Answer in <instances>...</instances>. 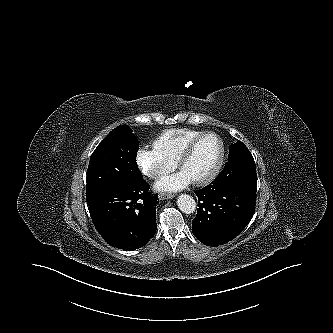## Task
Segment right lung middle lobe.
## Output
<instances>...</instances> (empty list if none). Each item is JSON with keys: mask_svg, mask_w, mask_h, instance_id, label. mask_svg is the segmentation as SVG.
I'll use <instances>...</instances> for the list:
<instances>
[{"mask_svg": "<svg viewBox=\"0 0 333 333\" xmlns=\"http://www.w3.org/2000/svg\"><path fill=\"white\" fill-rule=\"evenodd\" d=\"M138 148V140L128 125L112 130L90 158L86 198L143 178L136 164Z\"/></svg>", "mask_w": 333, "mask_h": 333, "instance_id": "1", "label": "right lung middle lobe"}]
</instances>
